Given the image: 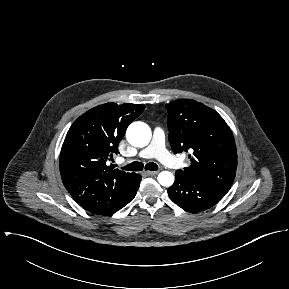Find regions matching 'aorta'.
I'll use <instances>...</instances> for the list:
<instances>
[{
  "label": "aorta",
  "mask_w": 289,
  "mask_h": 289,
  "mask_svg": "<svg viewBox=\"0 0 289 289\" xmlns=\"http://www.w3.org/2000/svg\"><path fill=\"white\" fill-rule=\"evenodd\" d=\"M150 127L141 121L130 124L126 131V138L128 142L134 147H145L151 140ZM157 180L160 185L170 187L174 183V175L169 171H162L158 174Z\"/></svg>",
  "instance_id": "1"
}]
</instances>
